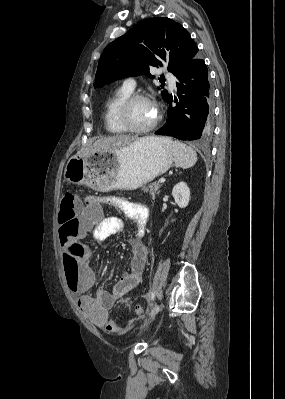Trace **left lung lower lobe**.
<instances>
[{
  "label": "left lung lower lobe",
  "instance_id": "obj_1",
  "mask_svg": "<svg viewBox=\"0 0 285 399\" xmlns=\"http://www.w3.org/2000/svg\"><path fill=\"white\" fill-rule=\"evenodd\" d=\"M177 94L169 102L166 124L155 132L180 140H205L212 132V91L207 66L197 54L176 73Z\"/></svg>",
  "mask_w": 285,
  "mask_h": 399
}]
</instances>
